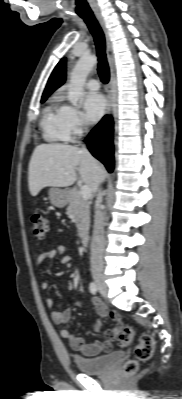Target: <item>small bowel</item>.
I'll list each match as a JSON object with an SVG mask.
<instances>
[{
	"label": "small bowel",
	"instance_id": "obj_1",
	"mask_svg": "<svg viewBox=\"0 0 182 399\" xmlns=\"http://www.w3.org/2000/svg\"><path fill=\"white\" fill-rule=\"evenodd\" d=\"M52 259H56L61 264H68L73 261L72 256L65 254L64 246H57L55 248L41 252L37 257L36 264L38 267H43L47 261ZM40 286L42 289L45 290L49 287V283L47 281H42ZM84 302L85 300L81 299L77 301L72 307H69L63 311L53 310L51 313L53 322L58 325H64L71 318L73 311L75 309L81 308L84 305ZM94 303L96 311L101 318L109 317L112 322L118 324L116 328L109 330L105 333V340L103 342L86 344L82 337L72 333L67 328L62 327L60 330L61 336L68 340L71 348L75 351L82 353L85 356H95L101 351H110L113 347V342L117 338L120 331V315L115 312H108L106 308L96 300H94ZM53 304L54 301L51 297L46 298V305L48 307H52ZM99 326L100 323L97 322L95 324V330H98Z\"/></svg>",
	"mask_w": 182,
	"mask_h": 399
}]
</instances>
